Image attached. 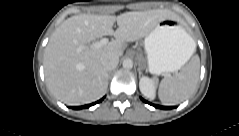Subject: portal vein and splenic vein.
I'll list each match as a JSON object with an SVG mask.
<instances>
[{"label":"portal vein and splenic vein","instance_id":"1","mask_svg":"<svg viewBox=\"0 0 239 136\" xmlns=\"http://www.w3.org/2000/svg\"><path fill=\"white\" fill-rule=\"evenodd\" d=\"M108 42H109L108 38H102L100 41L93 43L92 46L94 48H100V47L107 45Z\"/></svg>","mask_w":239,"mask_h":136}]
</instances>
